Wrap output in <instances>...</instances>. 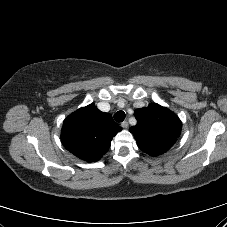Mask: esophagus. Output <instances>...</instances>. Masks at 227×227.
<instances>
[{"mask_svg": "<svg viewBox=\"0 0 227 227\" xmlns=\"http://www.w3.org/2000/svg\"><path fill=\"white\" fill-rule=\"evenodd\" d=\"M121 126H122V128H128V122L127 121H123L122 123H121Z\"/></svg>", "mask_w": 227, "mask_h": 227, "instance_id": "1", "label": "esophagus"}]
</instances>
